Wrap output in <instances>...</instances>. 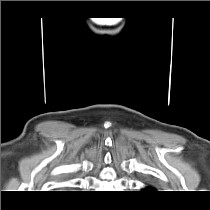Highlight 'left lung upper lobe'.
<instances>
[{
	"label": "left lung upper lobe",
	"instance_id": "obj_1",
	"mask_svg": "<svg viewBox=\"0 0 210 210\" xmlns=\"http://www.w3.org/2000/svg\"><path fill=\"white\" fill-rule=\"evenodd\" d=\"M151 189H152L151 187H149V188H146V190H147V191H151Z\"/></svg>",
	"mask_w": 210,
	"mask_h": 210
}]
</instances>
